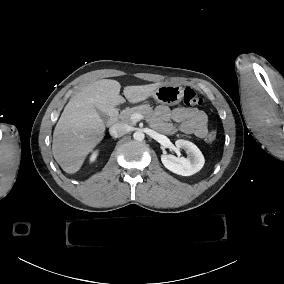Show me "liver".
I'll return each instance as SVG.
<instances>
[{
    "instance_id": "obj_1",
    "label": "liver",
    "mask_w": 284,
    "mask_h": 284,
    "mask_svg": "<svg viewBox=\"0 0 284 284\" xmlns=\"http://www.w3.org/2000/svg\"><path fill=\"white\" fill-rule=\"evenodd\" d=\"M160 82L126 86L123 94L130 104L153 96ZM121 84L102 79L83 86L66 104L53 131L52 155L62 170L73 175L80 171L87 157L105 137L106 125L100 113L109 114L124 104Z\"/></svg>"
}]
</instances>
